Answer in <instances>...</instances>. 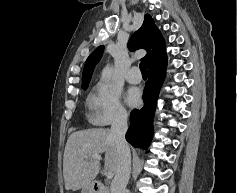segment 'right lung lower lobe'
I'll return each instance as SVG.
<instances>
[{
	"label": "right lung lower lobe",
	"instance_id": "right-lung-lower-lobe-1",
	"mask_svg": "<svg viewBox=\"0 0 237 193\" xmlns=\"http://www.w3.org/2000/svg\"><path fill=\"white\" fill-rule=\"evenodd\" d=\"M167 56L148 66L149 79L143 93L144 106L134 109L130 115V128L126 140L137 148L147 150L153 135L152 118L162 82L165 77Z\"/></svg>",
	"mask_w": 237,
	"mask_h": 193
}]
</instances>
